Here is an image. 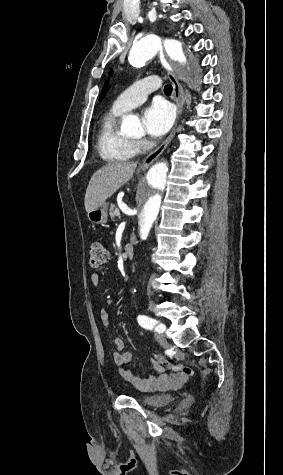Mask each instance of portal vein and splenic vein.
<instances>
[{
	"instance_id": "18ae733b",
	"label": "portal vein and splenic vein",
	"mask_w": 283,
	"mask_h": 475,
	"mask_svg": "<svg viewBox=\"0 0 283 475\" xmlns=\"http://www.w3.org/2000/svg\"><path fill=\"white\" fill-rule=\"evenodd\" d=\"M115 214H116V216H120L119 210H115Z\"/></svg>"
}]
</instances>
